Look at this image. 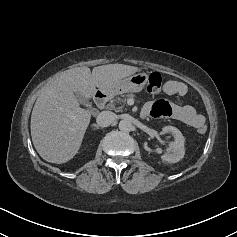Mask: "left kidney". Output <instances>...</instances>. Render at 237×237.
I'll list each match as a JSON object with an SVG mask.
<instances>
[{
	"instance_id": "5707ae66",
	"label": "left kidney",
	"mask_w": 237,
	"mask_h": 237,
	"mask_svg": "<svg viewBox=\"0 0 237 237\" xmlns=\"http://www.w3.org/2000/svg\"><path fill=\"white\" fill-rule=\"evenodd\" d=\"M162 132L171 133L174 136V141L170 142L169 151L162 155L161 159L169 163L179 162L185 155V139L182 133L174 126H165L162 128Z\"/></svg>"
}]
</instances>
